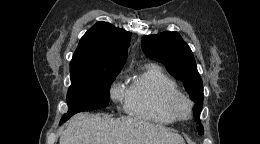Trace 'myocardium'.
<instances>
[{
    "label": "myocardium",
    "mask_w": 260,
    "mask_h": 144,
    "mask_svg": "<svg viewBox=\"0 0 260 144\" xmlns=\"http://www.w3.org/2000/svg\"><path fill=\"white\" fill-rule=\"evenodd\" d=\"M180 102H185L187 104L188 110L185 115H181L178 111V104ZM163 108L176 121H187L192 117L193 102L186 94L177 91L168 94L164 98Z\"/></svg>",
    "instance_id": "myocardium-1"
}]
</instances>
